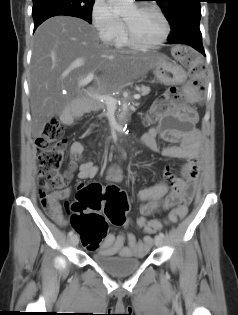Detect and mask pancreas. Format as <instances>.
Listing matches in <instances>:
<instances>
[{
    "label": "pancreas",
    "instance_id": "cf45deb5",
    "mask_svg": "<svg viewBox=\"0 0 238 315\" xmlns=\"http://www.w3.org/2000/svg\"><path fill=\"white\" fill-rule=\"evenodd\" d=\"M139 89L142 96L148 95L150 93V87L148 86L142 85Z\"/></svg>",
    "mask_w": 238,
    "mask_h": 315
}]
</instances>
